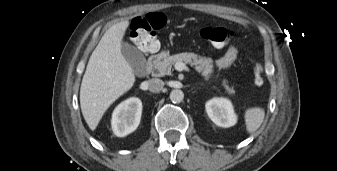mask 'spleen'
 <instances>
[{
  "instance_id": "3e777b00",
  "label": "spleen",
  "mask_w": 337,
  "mask_h": 171,
  "mask_svg": "<svg viewBox=\"0 0 337 171\" xmlns=\"http://www.w3.org/2000/svg\"><path fill=\"white\" fill-rule=\"evenodd\" d=\"M265 111L262 108L253 107L245 111V124L248 133H254L262 124Z\"/></svg>"
}]
</instances>
